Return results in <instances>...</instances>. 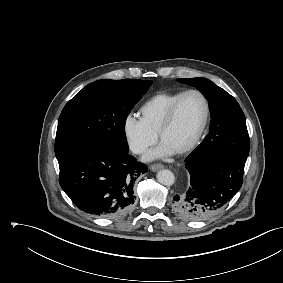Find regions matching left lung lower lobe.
<instances>
[{"label":"left lung lower lobe","mask_w":283,"mask_h":283,"mask_svg":"<svg viewBox=\"0 0 283 283\" xmlns=\"http://www.w3.org/2000/svg\"><path fill=\"white\" fill-rule=\"evenodd\" d=\"M247 156L216 152L186 158L190 186L185 194L175 195L173 210L186 220H205L219 212L239 191Z\"/></svg>","instance_id":"left-lung-lower-lobe-1"}]
</instances>
